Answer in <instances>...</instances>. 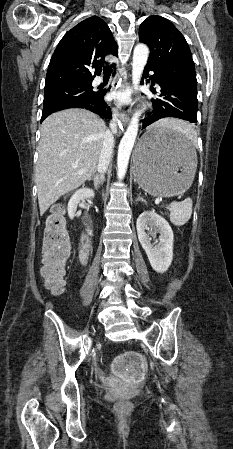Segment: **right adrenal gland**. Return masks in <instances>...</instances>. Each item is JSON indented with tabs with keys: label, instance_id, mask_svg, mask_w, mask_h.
<instances>
[{
	"label": "right adrenal gland",
	"instance_id": "2a0ac1e0",
	"mask_svg": "<svg viewBox=\"0 0 233 449\" xmlns=\"http://www.w3.org/2000/svg\"><path fill=\"white\" fill-rule=\"evenodd\" d=\"M90 180H93L95 189H98L100 185L103 184L105 180V175L104 174L96 175L95 177L88 179V181Z\"/></svg>",
	"mask_w": 233,
	"mask_h": 449
}]
</instances>
